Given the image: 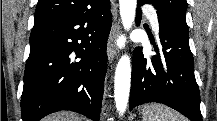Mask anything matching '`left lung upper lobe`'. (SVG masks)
Returning <instances> with one entry per match:
<instances>
[{"mask_svg": "<svg viewBox=\"0 0 217 121\" xmlns=\"http://www.w3.org/2000/svg\"><path fill=\"white\" fill-rule=\"evenodd\" d=\"M157 11L173 22L182 31L188 33L186 23V0H147Z\"/></svg>", "mask_w": 217, "mask_h": 121, "instance_id": "obj_1", "label": "left lung upper lobe"}]
</instances>
